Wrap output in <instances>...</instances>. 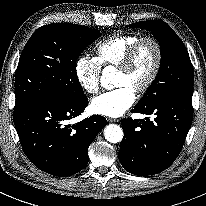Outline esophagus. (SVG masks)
Segmentation results:
<instances>
[{
  "label": "esophagus",
  "mask_w": 206,
  "mask_h": 206,
  "mask_svg": "<svg viewBox=\"0 0 206 206\" xmlns=\"http://www.w3.org/2000/svg\"><path fill=\"white\" fill-rule=\"evenodd\" d=\"M109 122H119V119H115V118H108Z\"/></svg>",
  "instance_id": "1"
}]
</instances>
